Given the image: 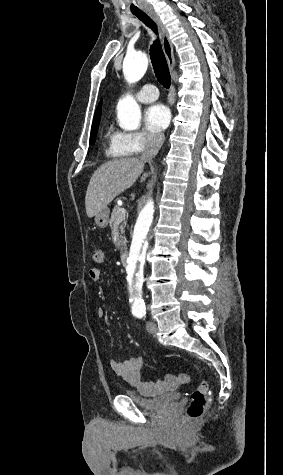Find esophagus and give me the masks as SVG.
Returning <instances> with one entry per match:
<instances>
[{
  "mask_svg": "<svg viewBox=\"0 0 283 475\" xmlns=\"http://www.w3.org/2000/svg\"><path fill=\"white\" fill-rule=\"evenodd\" d=\"M146 13L156 23V25L158 27L160 37H161L162 46H163V52L165 54L169 69H170L171 72H173L174 66H175V60H174L173 46H172V42L170 40L168 30L165 27V25H163L161 19L157 15V13H155L152 10H146ZM172 78L174 79L173 74H172ZM171 91L172 92L175 91L173 86H171Z\"/></svg>",
  "mask_w": 283,
  "mask_h": 475,
  "instance_id": "esophagus-1",
  "label": "esophagus"
}]
</instances>
